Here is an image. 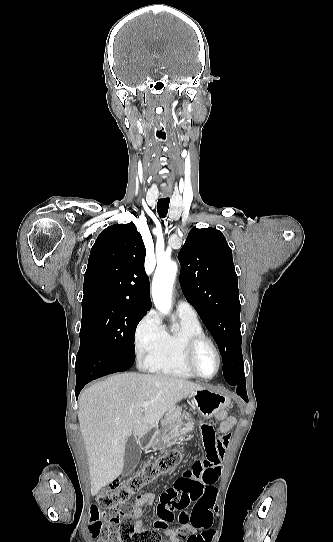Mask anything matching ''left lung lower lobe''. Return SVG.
Returning a JSON list of instances; mask_svg holds the SVG:
<instances>
[{"label":"left lung lower lobe","instance_id":"1","mask_svg":"<svg viewBox=\"0 0 333 542\" xmlns=\"http://www.w3.org/2000/svg\"><path fill=\"white\" fill-rule=\"evenodd\" d=\"M225 380L232 386L236 388V391L241 397L248 401L247 399V393H246V386H245V375L244 373L236 375L234 377L225 378Z\"/></svg>","mask_w":333,"mask_h":542}]
</instances>
